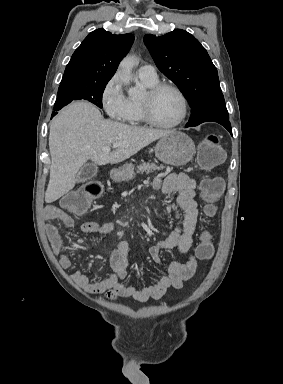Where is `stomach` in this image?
Masks as SVG:
<instances>
[{
  "mask_svg": "<svg viewBox=\"0 0 283 384\" xmlns=\"http://www.w3.org/2000/svg\"><path fill=\"white\" fill-rule=\"evenodd\" d=\"M194 154L195 144L183 132H172L168 136H163L155 148L156 158L164 162V164H170V166H185L192 160ZM133 170V164H125V166L116 170L115 180L117 182L132 180Z\"/></svg>",
  "mask_w": 283,
  "mask_h": 384,
  "instance_id": "0dacf381",
  "label": "stomach"
}]
</instances>
